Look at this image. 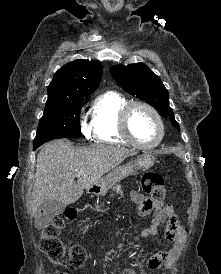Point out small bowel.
Segmentation results:
<instances>
[{
    "label": "small bowel",
    "mask_w": 221,
    "mask_h": 274,
    "mask_svg": "<svg viewBox=\"0 0 221 274\" xmlns=\"http://www.w3.org/2000/svg\"><path fill=\"white\" fill-rule=\"evenodd\" d=\"M130 197L132 201L139 205V216L144 217L153 212L150 225L140 232L138 238L156 235L158 226L166 223L164 236L166 240L172 242V246L169 249L157 252L149 259V269L158 270L162 267H171L180 255L185 236L184 227L175 214L173 207L161 201H152L136 191H133ZM120 274H136V272L128 268H123L120 270Z\"/></svg>",
    "instance_id": "c3829d8e"
}]
</instances>
